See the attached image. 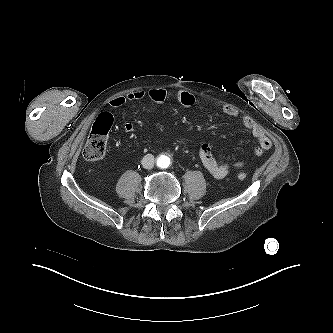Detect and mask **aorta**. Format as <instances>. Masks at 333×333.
Wrapping results in <instances>:
<instances>
[{
	"label": "aorta",
	"mask_w": 333,
	"mask_h": 333,
	"mask_svg": "<svg viewBox=\"0 0 333 333\" xmlns=\"http://www.w3.org/2000/svg\"><path fill=\"white\" fill-rule=\"evenodd\" d=\"M158 164L162 168H167L170 165V159L167 156H160L158 158Z\"/></svg>",
	"instance_id": "obj_1"
}]
</instances>
